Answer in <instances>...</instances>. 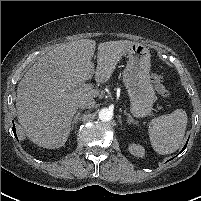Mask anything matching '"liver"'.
Wrapping results in <instances>:
<instances>
[{"mask_svg": "<svg viewBox=\"0 0 201 201\" xmlns=\"http://www.w3.org/2000/svg\"><path fill=\"white\" fill-rule=\"evenodd\" d=\"M131 43H100L96 70L92 62L96 42L90 39L59 45L35 62L21 79L16 97L19 123L28 138L44 148L62 147L79 101L100 92L85 91L82 85L94 74L96 82L106 83Z\"/></svg>", "mask_w": 201, "mask_h": 201, "instance_id": "obj_1", "label": "liver"}]
</instances>
